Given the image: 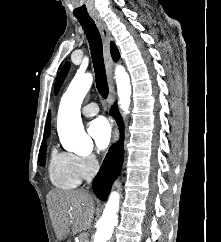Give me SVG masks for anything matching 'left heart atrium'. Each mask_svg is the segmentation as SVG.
<instances>
[{
  "label": "left heart atrium",
  "mask_w": 221,
  "mask_h": 242,
  "mask_svg": "<svg viewBox=\"0 0 221 242\" xmlns=\"http://www.w3.org/2000/svg\"><path fill=\"white\" fill-rule=\"evenodd\" d=\"M88 133L97 149L103 150L109 145L112 132L105 118L99 117L93 120L88 127Z\"/></svg>",
  "instance_id": "1"
}]
</instances>
